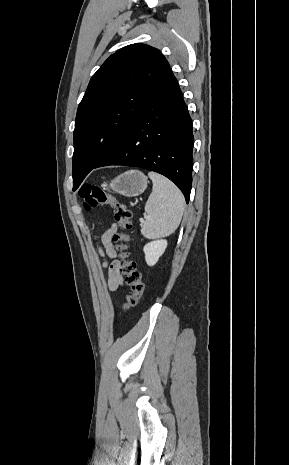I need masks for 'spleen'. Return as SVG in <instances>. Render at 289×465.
Wrapping results in <instances>:
<instances>
[{"label": "spleen", "instance_id": "1", "mask_svg": "<svg viewBox=\"0 0 289 465\" xmlns=\"http://www.w3.org/2000/svg\"><path fill=\"white\" fill-rule=\"evenodd\" d=\"M148 176L153 182V188L145 204L141 234L148 239L166 237L178 228L185 199L177 186L166 177L154 172Z\"/></svg>", "mask_w": 289, "mask_h": 465}]
</instances>
